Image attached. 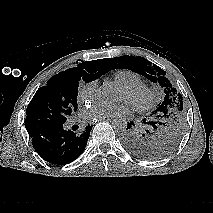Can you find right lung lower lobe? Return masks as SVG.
I'll use <instances>...</instances> for the list:
<instances>
[{
    "instance_id": "1",
    "label": "right lung lower lobe",
    "mask_w": 213,
    "mask_h": 213,
    "mask_svg": "<svg viewBox=\"0 0 213 213\" xmlns=\"http://www.w3.org/2000/svg\"><path fill=\"white\" fill-rule=\"evenodd\" d=\"M64 124L49 126L31 136L35 151L47 162L65 165L84 151L92 126L80 134L65 130Z\"/></svg>"
}]
</instances>
